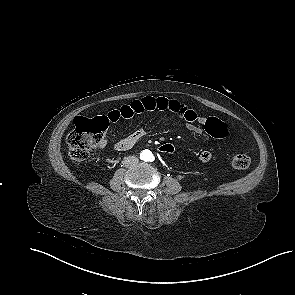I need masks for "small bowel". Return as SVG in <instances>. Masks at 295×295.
Returning <instances> with one entry per match:
<instances>
[{"mask_svg":"<svg viewBox=\"0 0 295 295\" xmlns=\"http://www.w3.org/2000/svg\"><path fill=\"white\" fill-rule=\"evenodd\" d=\"M151 111H169L176 114L186 121L188 131L195 136L202 135L204 129L201 126L205 127L210 119H215L199 115L195 110L188 108L178 100L152 96H146L142 99L134 100L129 104L122 105L118 109L109 111L104 117L107 122H117L119 119H130L134 115ZM144 136L145 131L143 129H138L118 140L115 143L114 148L117 151L129 150ZM105 145L106 143L102 142L100 147H104ZM198 158L200 162L206 163L212 159V154L210 151L204 150L200 152Z\"/></svg>","mask_w":295,"mask_h":295,"instance_id":"1","label":"small bowel"}]
</instances>
